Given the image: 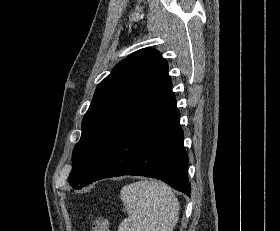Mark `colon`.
I'll use <instances>...</instances> for the list:
<instances>
[{
  "label": "colon",
  "mask_w": 280,
  "mask_h": 231,
  "mask_svg": "<svg viewBox=\"0 0 280 231\" xmlns=\"http://www.w3.org/2000/svg\"><path fill=\"white\" fill-rule=\"evenodd\" d=\"M92 231H109L108 222L101 216H95L91 222Z\"/></svg>",
  "instance_id": "5ec220e1"
}]
</instances>
